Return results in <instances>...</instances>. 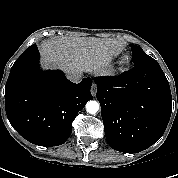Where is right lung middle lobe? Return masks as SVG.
<instances>
[{
    "label": "right lung middle lobe",
    "instance_id": "dd1d6c3e",
    "mask_svg": "<svg viewBox=\"0 0 178 178\" xmlns=\"http://www.w3.org/2000/svg\"><path fill=\"white\" fill-rule=\"evenodd\" d=\"M29 49H32V45L29 48H27L26 50H29Z\"/></svg>",
    "mask_w": 178,
    "mask_h": 178
}]
</instances>
